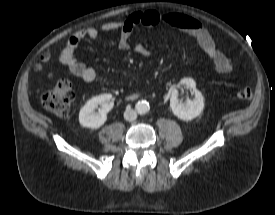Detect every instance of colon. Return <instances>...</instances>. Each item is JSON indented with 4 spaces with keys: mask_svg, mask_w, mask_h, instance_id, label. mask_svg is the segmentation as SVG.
<instances>
[{
    "mask_svg": "<svg viewBox=\"0 0 275 215\" xmlns=\"http://www.w3.org/2000/svg\"><path fill=\"white\" fill-rule=\"evenodd\" d=\"M237 96L243 100H249L253 96L250 87L241 88ZM75 104V95L67 79L59 80L54 86L48 88L42 95V105L56 116L66 119Z\"/></svg>",
    "mask_w": 275,
    "mask_h": 215,
    "instance_id": "5ec220e1",
    "label": "colon"
}]
</instances>
